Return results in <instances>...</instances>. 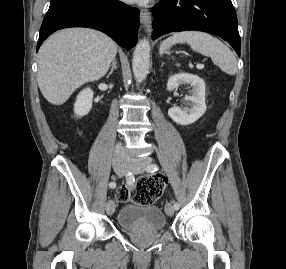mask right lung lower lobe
<instances>
[{
  "label": "right lung lower lobe",
  "instance_id": "98d812e1",
  "mask_svg": "<svg viewBox=\"0 0 286 269\" xmlns=\"http://www.w3.org/2000/svg\"><path fill=\"white\" fill-rule=\"evenodd\" d=\"M72 26L102 31L131 49L137 42L139 12L118 0H64L50 5L40 28L37 51L53 32Z\"/></svg>",
  "mask_w": 286,
  "mask_h": 269
}]
</instances>
